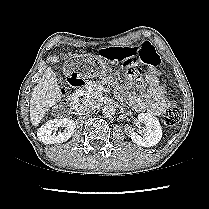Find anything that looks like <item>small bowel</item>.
Segmentation results:
<instances>
[{
  "instance_id": "1",
  "label": "small bowel",
  "mask_w": 209,
  "mask_h": 209,
  "mask_svg": "<svg viewBox=\"0 0 209 209\" xmlns=\"http://www.w3.org/2000/svg\"><path fill=\"white\" fill-rule=\"evenodd\" d=\"M127 79L136 85H141L146 81L147 91L145 95L130 94L131 105L136 111H146L155 116L162 114L168 105L165 87L159 79L152 74L144 76L137 64H129L125 68Z\"/></svg>"
}]
</instances>
